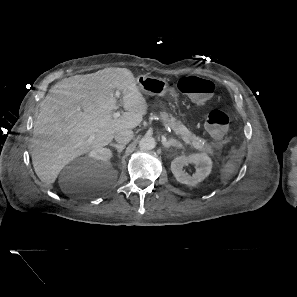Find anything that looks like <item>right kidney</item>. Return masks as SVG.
<instances>
[{
    "instance_id": "obj_1",
    "label": "right kidney",
    "mask_w": 297,
    "mask_h": 297,
    "mask_svg": "<svg viewBox=\"0 0 297 297\" xmlns=\"http://www.w3.org/2000/svg\"><path fill=\"white\" fill-rule=\"evenodd\" d=\"M88 156L95 161L108 163L113 154L108 148H97L90 151Z\"/></svg>"
}]
</instances>
